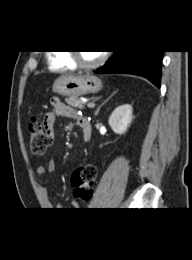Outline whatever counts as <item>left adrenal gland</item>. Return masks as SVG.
I'll list each match as a JSON object with an SVG mask.
<instances>
[{"label": "left adrenal gland", "mask_w": 192, "mask_h": 260, "mask_svg": "<svg viewBox=\"0 0 192 260\" xmlns=\"http://www.w3.org/2000/svg\"><path fill=\"white\" fill-rule=\"evenodd\" d=\"M115 93H116V91H115V92H114V93H113V94H112V95H111V96H110L106 101H108V100H109V99H110V98H111ZM106 101H105L104 103H106ZM104 103H103V104H104ZM103 104H102V105H103ZM102 105H100V106L98 107V109L96 110V112H95V116L98 115V113H99L100 108H101Z\"/></svg>", "instance_id": "a2214340"}]
</instances>
